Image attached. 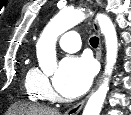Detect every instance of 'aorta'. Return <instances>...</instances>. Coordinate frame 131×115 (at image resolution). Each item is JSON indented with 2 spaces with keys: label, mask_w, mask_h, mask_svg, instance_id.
<instances>
[{
  "label": "aorta",
  "mask_w": 131,
  "mask_h": 115,
  "mask_svg": "<svg viewBox=\"0 0 131 115\" xmlns=\"http://www.w3.org/2000/svg\"><path fill=\"white\" fill-rule=\"evenodd\" d=\"M86 17L87 14L82 10H62L45 27L36 44V53L40 68L46 75L53 74L57 66V38ZM96 19L105 38L106 66L103 82L89 97L82 115L100 114L118 53L117 33L111 19L105 14H97Z\"/></svg>",
  "instance_id": "aorta-1"
}]
</instances>
